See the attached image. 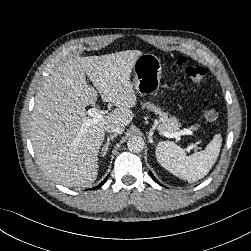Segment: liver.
I'll list each match as a JSON object with an SVG mask.
<instances>
[{
    "mask_svg": "<svg viewBox=\"0 0 251 251\" xmlns=\"http://www.w3.org/2000/svg\"><path fill=\"white\" fill-rule=\"evenodd\" d=\"M139 50L70 58L43 82L35 97L30 139L37 162L54 182L88 187L98 175V153L105 127L130 124L137 97L130 75ZM85 74L97 90L90 87ZM117 108L90 126L85 108L97 100Z\"/></svg>",
    "mask_w": 251,
    "mask_h": 251,
    "instance_id": "1",
    "label": "liver"
}]
</instances>
